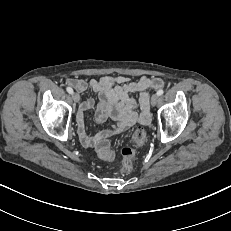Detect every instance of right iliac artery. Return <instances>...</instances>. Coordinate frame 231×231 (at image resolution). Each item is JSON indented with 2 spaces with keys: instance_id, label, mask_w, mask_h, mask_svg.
Instances as JSON below:
<instances>
[{
  "instance_id": "1",
  "label": "right iliac artery",
  "mask_w": 231,
  "mask_h": 231,
  "mask_svg": "<svg viewBox=\"0 0 231 231\" xmlns=\"http://www.w3.org/2000/svg\"><path fill=\"white\" fill-rule=\"evenodd\" d=\"M66 90L69 94H73V89L71 87H67Z\"/></svg>"
}]
</instances>
